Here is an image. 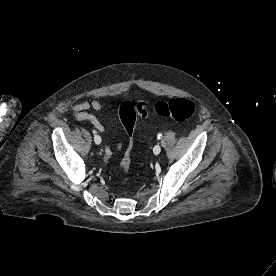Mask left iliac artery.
I'll list each match as a JSON object with an SVG mask.
<instances>
[{"label": "left iliac artery", "mask_w": 276, "mask_h": 276, "mask_svg": "<svg viewBox=\"0 0 276 276\" xmlns=\"http://www.w3.org/2000/svg\"><path fill=\"white\" fill-rule=\"evenodd\" d=\"M157 138H158V139H161V138H162V134H158V135H157Z\"/></svg>", "instance_id": "obj_1"}]
</instances>
